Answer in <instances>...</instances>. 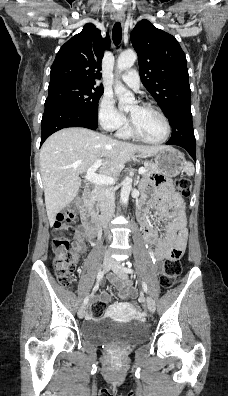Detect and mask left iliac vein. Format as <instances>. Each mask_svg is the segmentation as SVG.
<instances>
[{
	"label": "left iliac vein",
	"instance_id": "4c4485c4",
	"mask_svg": "<svg viewBox=\"0 0 228 396\" xmlns=\"http://www.w3.org/2000/svg\"><path fill=\"white\" fill-rule=\"evenodd\" d=\"M124 268L125 267L117 262H114L112 264V271L121 279L127 278V273L125 272ZM147 307L151 313L155 311V302L150 296L147 297Z\"/></svg>",
	"mask_w": 228,
	"mask_h": 396
}]
</instances>
